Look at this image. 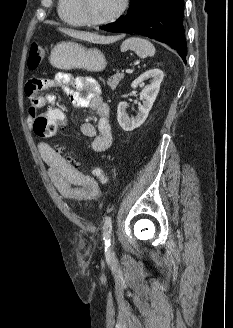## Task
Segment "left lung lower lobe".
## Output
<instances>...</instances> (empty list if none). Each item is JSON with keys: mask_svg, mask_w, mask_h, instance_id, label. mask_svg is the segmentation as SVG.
I'll return each mask as SVG.
<instances>
[{"mask_svg": "<svg viewBox=\"0 0 233 328\" xmlns=\"http://www.w3.org/2000/svg\"><path fill=\"white\" fill-rule=\"evenodd\" d=\"M125 17L101 26L108 32L135 33L166 43L185 62L187 55L183 26V0H130Z\"/></svg>", "mask_w": 233, "mask_h": 328, "instance_id": "1", "label": "left lung lower lobe"}]
</instances>
